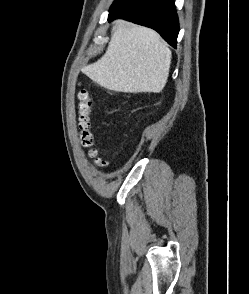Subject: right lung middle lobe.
Returning a JSON list of instances; mask_svg holds the SVG:
<instances>
[{
  "label": "right lung middle lobe",
  "mask_w": 249,
  "mask_h": 294,
  "mask_svg": "<svg viewBox=\"0 0 249 294\" xmlns=\"http://www.w3.org/2000/svg\"><path fill=\"white\" fill-rule=\"evenodd\" d=\"M123 1H124V0H115V2L112 4L111 7H114V6L120 4V3L123 2Z\"/></svg>",
  "instance_id": "obj_1"
}]
</instances>
